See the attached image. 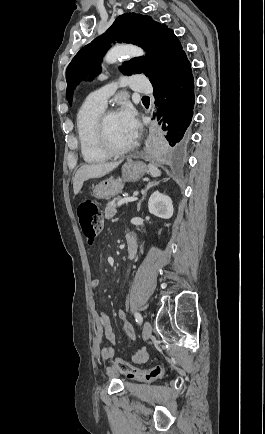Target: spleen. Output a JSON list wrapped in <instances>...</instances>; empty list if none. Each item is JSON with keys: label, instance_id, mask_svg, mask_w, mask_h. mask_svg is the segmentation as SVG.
<instances>
[{"label": "spleen", "instance_id": "1", "mask_svg": "<svg viewBox=\"0 0 265 434\" xmlns=\"http://www.w3.org/2000/svg\"><path fill=\"white\" fill-rule=\"evenodd\" d=\"M148 168L152 178H158V176H160L161 172L154 164H148Z\"/></svg>", "mask_w": 265, "mask_h": 434}]
</instances>
